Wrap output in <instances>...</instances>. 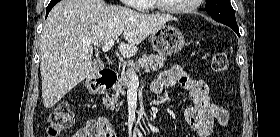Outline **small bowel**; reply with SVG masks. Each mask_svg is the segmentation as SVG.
Wrapping results in <instances>:
<instances>
[{
  "mask_svg": "<svg viewBox=\"0 0 280 137\" xmlns=\"http://www.w3.org/2000/svg\"><path fill=\"white\" fill-rule=\"evenodd\" d=\"M166 87H181L186 90L192 104L185 109L184 116L187 122L195 128L198 137H209L214 129L215 121L226 126L230 122L229 112L222 106L213 102L209 96V86L201 78H192L179 65L163 71L153 83L152 90L160 95ZM110 130L111 137H115L109 121L102 117L97 120ZM73 137H99L93 136L90 126L80 128Z\"/></svg>",
  "mask_w": 280,
  "mask_h": 137,
  "instance_id": "1",
  "label": "small bowel"
}]
</instances>
